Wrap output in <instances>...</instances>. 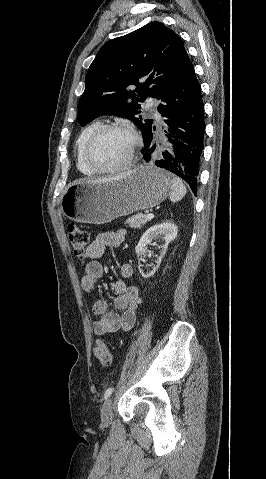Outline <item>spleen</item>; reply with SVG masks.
<instances>
[{"label": "spleen", "instance_id": "spleen-1", "mask_svg": "<svg viewBox=\"0 0 266 479\" xmlns=\"http://www.w3.org/2000/svg\"><path fill=\"white\" fill-rule=\"evenodd\" d=\"M186 186L183 184L181 179L175 177L173 179L172 191L170 194V200L172 202L180 201L186 194Z\"/></svg>", "mask_w": 266, "mask_h": 479}]
</instances>
